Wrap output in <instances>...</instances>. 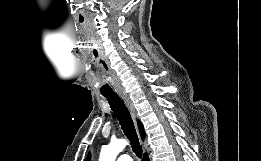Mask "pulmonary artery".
I'll list each match as a JSON object with an SVG mask.
<instances>
[{
  "label": "pulmonary artery",
  "mask_w": 261,
  "mask_h": 161,
  "mask_svg": "<svg viewBox=\"0 0 261 161\" xmlns=\"http://www.w3.org/2000/svg\"><path fill=\"white\" fill-rule=\"evenodd\" d=\"M117 161H132V159L130 156L122 154L117 158Z\"/></svg>",
  "instance_id": "obj_1"
}]
</instances>
